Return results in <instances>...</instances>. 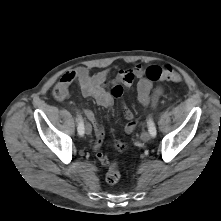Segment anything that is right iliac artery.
<instances>
[{"instance_id": "right-iliac-artery-1", "label": "right iliac artery", "mask_w": 221, "mask_h": 221, "mask_svg": "<svg viewBox=\"0 0 221 221\" xmlns=\"http://www.w3.org/2000/svg\"><path fill=\"white\" fill-rule=\"evenodd\" d=\"M78 127H77V131H78V134L80 136H83L84 135V122H83V119L81 116H78Z\"/></svg>"}]
</instances>
